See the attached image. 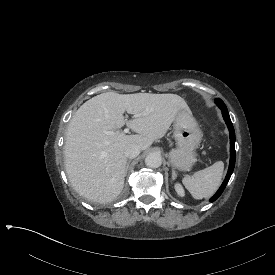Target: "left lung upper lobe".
I'll list each match as a JSON object with an SVG mask.
<instances>
[{"label":"left lung upper lobe","mask_w":275,"mask_h":275,"mask_svg":"<svg viewBox=\"0 0 275 275\" xmlns=\"http://www.w3.org/2000/svg\"><path fill=\"white\" fill-rule=\"evenodd\" d=\"M216 104L221 108V110L228 111L226 105L221 99L216 98Z\"/></svg>","instance_id":"obj_1"}]
</instances>
